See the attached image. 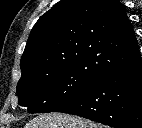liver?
I'll return each mask as SVG.
<instances>
[{
    "label": "liver",
    "mask_w": 142,
    "mask_h": 128,
    "mask_svg": "<svg viewBox=\"0 0 142 128\" xmlns=\"http://www.w3.org/2000/svg\"><path fill=\"white\" fill-rule=\"evenodd\" d=\"M25 128H104L94 122L81 117L50 113L39 115L34 119L30 120Z\"/></svg>",
    "instance_id": "obj_1"
}]
</instances>
